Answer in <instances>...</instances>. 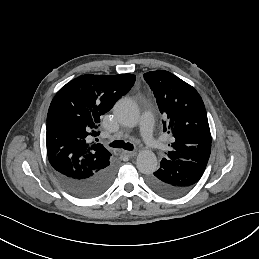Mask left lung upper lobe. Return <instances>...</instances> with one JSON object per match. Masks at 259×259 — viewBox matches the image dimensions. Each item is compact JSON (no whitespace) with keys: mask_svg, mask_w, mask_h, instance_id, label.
<instances>
[{"mask_svg":"<svg viewBox=\"0 0 259 259\" xmlns=\"http://www.w3.org/2000/svg\"><path fill=\"white\" fill-rule=\"evenodd\" d=\"M144 79L165 116L163 131L175 138L166 158L206 166L211 153V133L201 96L191 85L165 70L145 73Z\"/></svg>","mask_w":259,"mask_h":259,"instance_id":"obj_1","label":"left lung upper lobe"}]
</instances>
